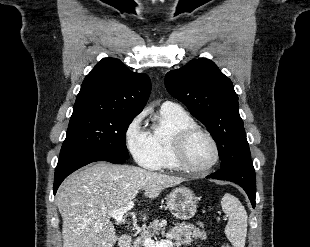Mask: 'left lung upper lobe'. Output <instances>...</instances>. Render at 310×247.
Listing matches in <instances>:
<instances>
[{"instance_id": "5c2ea615", "label": "left lung upper lobe", "mask_w": 310, "mask_h": 247, "mask_svg": "<svg viewBox=\"0 0 310 247\" xmlns=\"http://www.w3.org/2000/svg\"><path fill=\"white\" fill-rule=\"evenodd\" d=\"M168 92L187 106L215 140L221 168L250 158L238 96L231 80L206 58L190 61L165 76Z\"/></svg>"}]
</instances>
